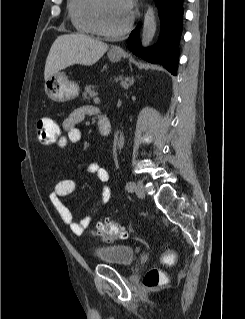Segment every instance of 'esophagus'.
Returning <instances> with one entry per match:
<instances>
[{
	"label": "esophagus",
	"mask_w": 245,
	"mask_h": 319,
	"mask_svg": "<svg viewBox=\"0 0 245 319\" xmlns=\"http://www.w3.org/2000/svg\"><path fill=\"white\" fill-rule=\"evenodd\" d=\"M114 51L118 52V53H123V50L119 47H115Z\"/></svg>",
	"instance_id": "obj_1"
}]
</instances>
